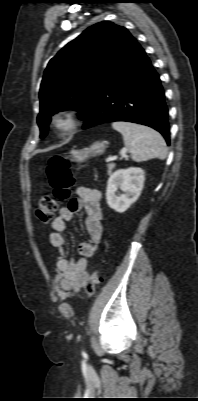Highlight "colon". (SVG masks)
<instances>
[{
	"mask_svg": "<svg viewBox=\"0 0 198 401\" xmlns=\"http://www.w3.org/2000/svg\"><path fill=\"white\" fill-rule=\"evenodd\" d=\"M45 171L49 184L53 189V197L43 196L40 198L36 209V215L41 222L48 223L57 210V202L66 201L70 198L71 188L75 180L71 171L70 162L63 156L51 157ZM100 281L99 272H93L85 285V291L88 296H93L95 294L96 287Z\"/></svg>",
	"mask_w": 198,
	"mask_h": 401,
	"instance_id": "1",
	"label": "colon"
}]
</instances>
